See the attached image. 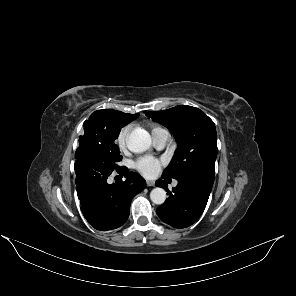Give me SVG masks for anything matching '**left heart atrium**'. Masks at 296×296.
<instances>
[{
    "instance_id": "39dd6f15",
    "label": "left heart atrium",
    "mask_w": 296,
    "mask_h": 296,
    "mask_svg": "<svg viewBox=\"0 0 296 296\" xmlns=\"http://www.w3.org/2000/svg\"><path fill=\"white\" fill-rule=\"evenodd\" d=\"M163 165H165V161L163 159L152 156L139 157L133 163L134 168L143 176L148 178L156 177Z\"/></svg>"
}]
</instances>
